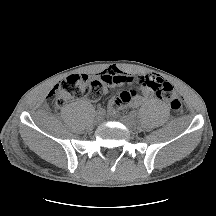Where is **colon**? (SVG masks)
<instances>
[{
	"mask_svg": "<svg viewBox=\"0 0 216 216\" xmlns=\"http://www.w3.org/2000/svg\"><path fill=\"white\" fill-rule=\"evenodd\" d=\"M141 84L148 87L157 97L165 100L175 114L180 115L182 113V100L169 82L154 75L142 80ZM136 93L133 88L122 91L113 100L112 108L116 109L130 102ZM102 94L103 84L101 81L84 74H73L58 83L49 97L55 107L62 108L76 96H83L89 100H98Z\"/></svg>",
	"mask_w": 216,
	"mask_h": 216,
	"instance_id": "5ec220e1",
	"label": "colon"
}]
</instances>
